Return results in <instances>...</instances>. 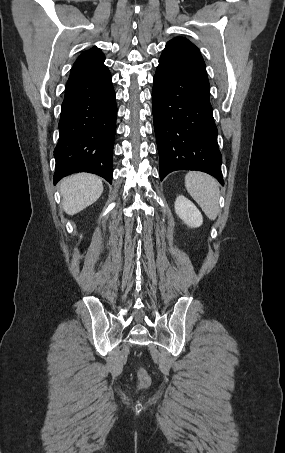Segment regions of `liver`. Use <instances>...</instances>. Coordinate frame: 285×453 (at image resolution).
<instances>
[{
	"label": "liver",
	"instance_id": "1",
	"mask_svg": "<svg viewBox=\"0 0 285 453\" xmlns=\"http://www.w3.org/2000/svg\"><path fill=\"white\" fill-rule=\"evenodd\" d=\"M60 191L64 211L74 215L98 200L103 184L96 175L79 173L65 178L60 184Z\"/></svg>",
	"mask_w": 285,
	"mask_h": 453
}]
</instances>
